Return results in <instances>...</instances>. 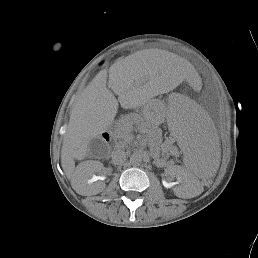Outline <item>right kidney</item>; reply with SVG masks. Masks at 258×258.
I'll list each match as a JSON object with an SVG mask.
<instances>
[{
  "instance_id": "1",
  "label": "right kidney",
  "mask_w": 258,
  "mask_h": 258,
  "mask_svg": "<svg viewBox=\"0 0 258 258\" xmlns=\"http://www.w3.org/2000/svg\"><path fill=\"white\" fill-rule=\"evenodd\" d=\"M94 163L97 164L96 161H94ZM101 170H102V169H101ZM101 170H100V171H101ZM100 171H94V172H100ZM94 172H93V173H94ZM93 173H92V175H93ZM95 178L100 179V178H103V177H96V176H94L92 179L88 180V183L91 182V180H93V179H95ZM91 183H92V182H91ZM103 187H105V184H104V183H102V185H101V188H102V189H103ZM102 189H95V190L92 191V194H97V193L101 192Z\"/></svg>"
}]
</instances>
